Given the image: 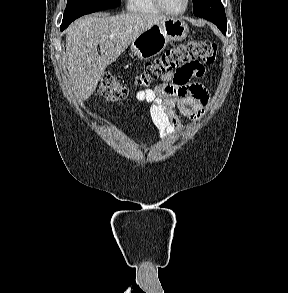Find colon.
<instances>
[{
	"mask_svg": "<svg viewBox=\"0 0 288 293\" xmlns=\"http://www.w3.org/2000/svg\"><path fill=\"white\" fill-rule=\"evenodd\" d=\"M217 56V45L209 40H188L145 65L134 80L136 86L146 87L158 77L175 72L195 62L213 64ZM99 94L110 102L124 100L129 87L114 75H104L98 86Z\"/></svg>",
	"mask_w": 288,
	"mask_h": 293,
	"instance_id": "1",
	"label": "colon"
}]
</instances>
